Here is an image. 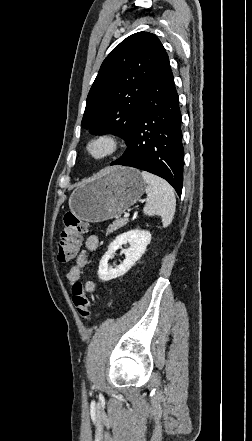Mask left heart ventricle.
Instances as JSON below:
<instances>
[{
    "mask_svg": "<svg viewBox=\"0 0 252 441\" xmlns=\"http://www.w3.org/2000/svg\"><path fill=\"white\" fill-rule=\"evenodd\" d=\"M103 151H104V145H102V144H98V145L94 146V148H93V152L95 154H100Z\"/></svg>",
    "mask_w": 252,
    "mask_h": 441,
    "instance_id": "obj_1",
    "label": "left heart ventricle"
}]
</instances>
